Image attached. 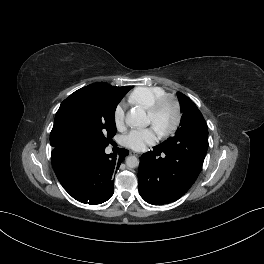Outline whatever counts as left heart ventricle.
Returning a JSON list of instances; mask_svg holds the SVG:
<instances>
[{
    "label": "left heart ventricle",
    "mask_w": 264,
    "mask_h": 264,
    "mask_svg": "<svg viewBox=\"0 0 264 264\" xmlns=\"http://www.w3.org/2000/svg\"><path fill=\"white\" fill-rule=\"evenodd\" d=\"M173 119L174 114L170 105H165L155 118L148 115L149 123H151L157 131L169 127L172 124Z\"/></svg>",
    "instance_id": "b2bd125f"
}]
</instances>
